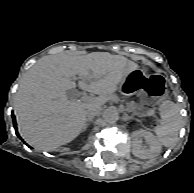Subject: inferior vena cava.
Here are the masks:
<instances>
[{"instance_id":"1","label":"inferior vena cava","mask_w":194,"mask_h":193,"mask_svg":"<svg viewBox=\"0 0 194 193\" xmlns=\"http://www.w3.org/2000/svg\"><path fill=\"white\" fill-rule=\"evenodd\" d=\"M98 114H99V110H87L86 111L87 119H92V118H94Z\"/></svg>"}]
</instances>
